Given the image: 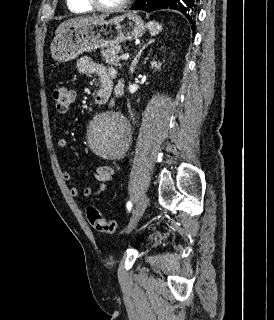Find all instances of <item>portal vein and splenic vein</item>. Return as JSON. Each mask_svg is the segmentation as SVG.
I'll use <instances>...</instances> for the list:
<instances>
[{
    "label": "portal vein and splenic vein",
    "instance_id": "obj_1",
    "mask_svg": "<svg viewBox=\"0 0 274 320\" xmlns=\"http://www.w3.org/2000/svg\"><path fill=\"white\" fill-rule=\"evenodd\" d=\"M121 60H128L129 54H123V56H120Z\"/></svg>",
    "mask_w": 274,
    "mask_h": 320
}]
</instances>
